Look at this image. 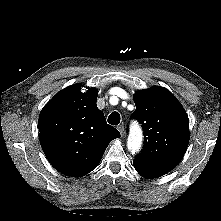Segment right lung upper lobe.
Listing matches in <instances>:
<instances>
[{"label":"right lung upper lobe","mask_w":221,"mask_h":221,"mask_svg":"<svg viewBox=\"0 0 221 221\" xmlns=\"http://www.w3.org/2000/svg\"><path fill=\"white\" fill-rule=\"evenodd\" d=\"M81 84L58 92L39 116V140L53 167L73 177H81L97 167L109 142L120 137L106 123L96 106L97 89L80 91Z\"/></svg>","instance_id":"1"}]
</instances>
